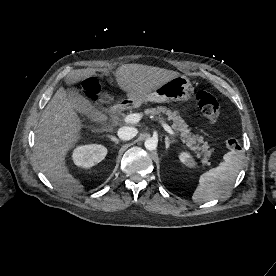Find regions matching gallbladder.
Masks as SVG:
<instances>
[{"instance_id":"1","label":"gallbladder","mask_w":276,"mask_h":276,"mask_svg":"<svg viewBox=\"0 0 276 276\" xmlns=\"http://www.w3.org/2000/svg\"><path fill=\"white\" fill-rule=\"evenodd\" d=\"M67 95L76 112L85 115L95 122H99L103 119L104 114L95 108L89 100L83 97L77 90L68 89Z\"/></svg>"}]
</instances>
